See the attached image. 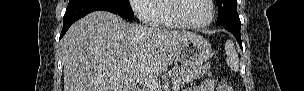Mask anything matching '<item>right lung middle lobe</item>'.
<instances>
[{
	"label": "right lung middle lobe",
	"instance_id": "right-lung-middle-lobe-1",
	"mask_svg": "<svg viewBox=\"0 0 304 91\" xmlns=\"http://www.w3.org/2000/svg\"><path fill=\"white\" fill-rule=\"evenodd\" d=\"M111 2L117 11V14L126 19L134 18V13L131 9L129 0H107Z\"/></svg>",
	"mask_w": 304,
	"mask_h": 91
}]
</instances>
